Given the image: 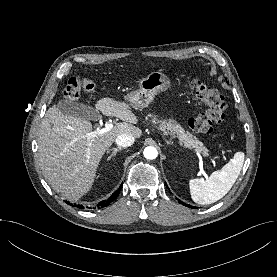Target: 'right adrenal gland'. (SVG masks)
Masks as SVG:
<instances>
[{"label": "right adrenal gland", "mask_w": 277, "mask_h": 277, "mask_svg": "<svg viewBox=\"0 0 277 277\" xmlns=\"http://www.w3.org/2000/svg\"><path fill=\"white\" fill-rule=\"evenodd\" d=\"M122 149H124V148H122V147H117V148L108 149L107 153H109L110 151H112V153L108 156L107 161H109L113 156L116 155V153H117L118 151H120V150H122Z\"/></svg>", "instance_id": "2a0ac1e0"}]
</instances>
